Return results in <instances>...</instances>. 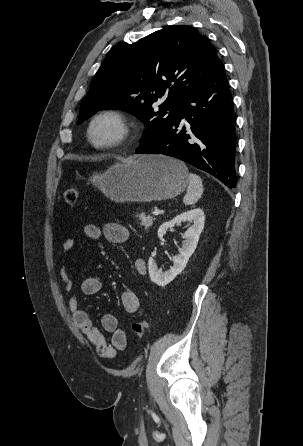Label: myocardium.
<instances>
[{"label": "myocardium", "instance_id": "1", "mask_svg": "<svg viewBox=\"0 0 303 446\" xmlns=\"http://www.w3.org/2000/svg\"><path fill=\"white\" fill-rule=\"evenodd\" d=\"M103 119H107L115 125L116 134L111 140L105 143H97L92 137V130L94 126ZM132 133L133 125L128 115L121 110L108 108L97 112L91 117L86 129V138L88 143L93 148L98 150H107L118 147L127 142L132 136Z\"/></svg>", "mask_w": 303, "mask_h": 446}]
</instances>
